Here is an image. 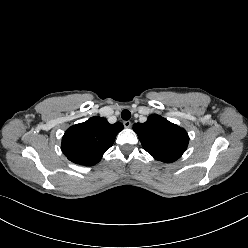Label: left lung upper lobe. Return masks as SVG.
Masks as SVG:
<instances>
[{
	"mask_svg": "<svg viewBox=\"0 0 248 248\" xmlns=\"http://www.w3.org/2000/svg\"><path fill=\"white\" fill-rule=\"evenodd\" d=\"M133 130L143 148L162 162L177 160L188 146L187 132L157 114L149 116L144 123L134 124Z\"/></svg>",
	"mask_w": 248,
	"mask_h": 248,
	"instance_id": "left-lung-upper-lobe-1",
	"label": "left lung upper lobe"
}]
</instances>
